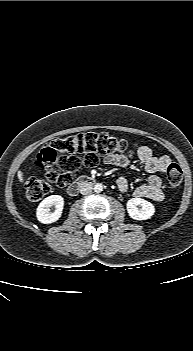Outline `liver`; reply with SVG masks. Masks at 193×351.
I'll return each instance as SVG.
<instances>
[{
  "label": "liver",
  "instance_id": "obj_1",
  "mask_svg": "<svg viewBox=\"0 0 193 351\" xmlns=\"http://www.w3.org/2000/svg\"><path fill=\"white\" fill-rule=\"evenodd\" d=\"M18 179H19V181H20L21 183L24 182L22 171H18Z\"/></svg>",
  "mask_w": 193,
  "mask_h": 351
}]
</instances>
